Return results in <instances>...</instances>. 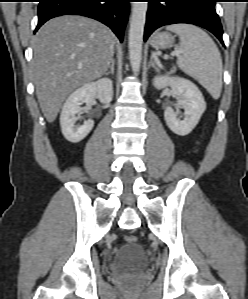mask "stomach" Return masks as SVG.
<instances>
[{"label": "stomach", "instance_id": "obj_1", "mask_svg": "<svg viewBox=\"0 0 248 299\" xmlns=\"http://www.w3.org/2000/svg\"><path fill=\"white\" fill-rule=\"evenodd\" d=\"M175 37L168 32H158L151 39V46L155 49H166L173 45Z\"/></svg>", "mask_w": 248, "mask_h": 299}]
</instances>
